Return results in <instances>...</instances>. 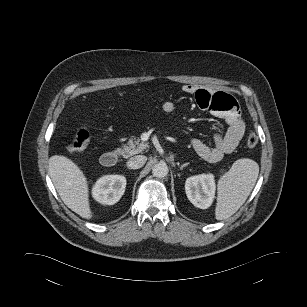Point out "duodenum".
Segmentation results:
<instances>
[{"mask_svg": "<svg viewBox=\"0 0 307 307\" xmlns=\"http://www.w3.org/2000/svg\"><path fill=\"white\" fill-rule=\"evenodd\" d=\"M100 161L101 164L106 168L113 167L118 161V153L115 151L105 152L104 154H102Z\"/></svg>", "mask_w": 307, "mask_h": 307, "instance_id": "410a0bca", "label": "duodenum"}]
</instances>
